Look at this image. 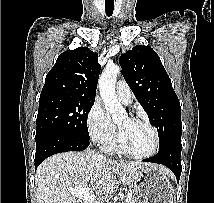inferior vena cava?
Listing matches in <instances>:
<instances>
[{
	"label": "inferior vena cava",
	"instance_id": "obj_1",
	"mask_svg": "<svg viewBox=\"0 0 214 203\" xmlns=\"http://www.w3.org/2000/svg\"><path fill=\"white\" fill-rule=\"evenodd\" d=\"M99 157H101V158H103V156L102 155H100L99 153L97 154Z\"/></svg>",
	"mask_w": 214,
	"mask_h": 203
}]
</instances>
